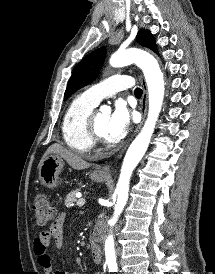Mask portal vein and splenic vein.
<instances>
[{"label":"portal vein and splenic vein","mask_w":215,"mask_h":274,"mask_svg":"<svg viewBox=\"0 0 215 274\" xmlns=\"http://www.w3.org/2000/svg\"><path fill=\"white\" fill-rule=\"evenodd\" d=\"M84 204H85V199H83V198H81V199H79V200L77 201V205H78L79 207L83 206Z\"/></svg>","instance_id":"obj_1"}]
</instances>
